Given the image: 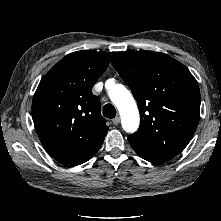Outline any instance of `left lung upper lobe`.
<instances>
[{
    "mask_svg": "<svg viewBox=\"0 0 221 221\" xmlns=\"http://www.w3.org/2000/svg\"><path fill=\"white\" fill-rule=\"evenodd\" d=\"M111 63L131 89L140 127L128 137L140 156L171 159L191 140L200 118V91L190 71L167 54L119 53Z\"/></svg>",
    "mask_w": 221,
    "mask_h": 221,
    "instance_id": "obj_1",
    "label": "left lung upper lobe"
}]
</instances>
